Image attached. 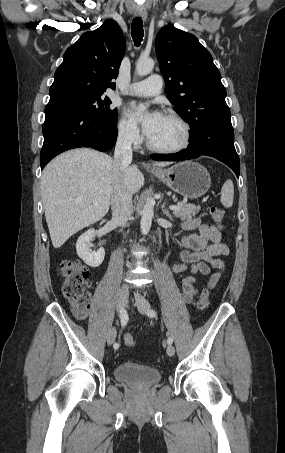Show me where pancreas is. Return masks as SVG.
I'll return each mask as SVG.
<instances>
[{"label":"pancreas","mask_w":285,"mask_h":453,"mask_svg":"<svg viewBox=\"0 0 285 453\" xmlns=\"http://www.w3.org/2000/svg\"><path fill=\"white\" fill-rule=\"evenodd\" d=\"M176 201V198L173 197ZM180 208L173 210V214L176 218H180L182 221L191 220L200 210V206H195L192 204H179Z\"/></svg>","instance_id":"pancreas-1"}]
</instances>
